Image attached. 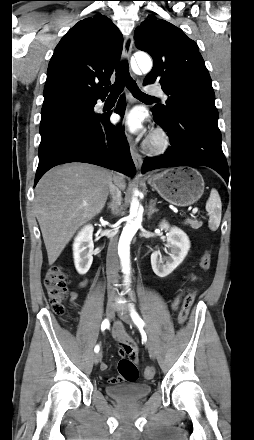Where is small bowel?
Masks as SVG:
<instances>
[{
	"label": "small bowel",
	"instance_id": "small-bowel-1",
	"mask_svg": "<svg viewBox=\"0 0 254 440\" xmlns=\"http://www.w3.org/2000/svg\"><path fill=\"white\" fill-rule=\"evenodd\" d=\"M191 279L195 280L196 277L192 276ZM87 283H88V281L84 280L79 284V286L84 287ZM180 297H181V294H179L174 299V301H173V308L174 309L178 308L179 303H180ZM76 298H77V293L72 292L71 293V300L73 303H75ZM112 335H113V338L115 339V341L119 345V354L122 356H127L128 358H130L136 362L138 360V356H139V348H138L136 342L134 341V339L127 333L123 324L120 321H116L114 323ZM100 367L102 370H107L108 365L105 362H103V363H101ZM122 381H123V379L121 376H115V377L108 378V383L112 384V385L118 384Z\"/></svg>",
	"mask_w": 254,
	"mask_h": 440
}]
</instances>
